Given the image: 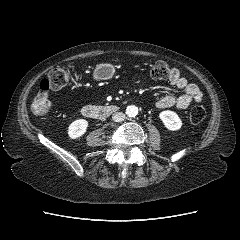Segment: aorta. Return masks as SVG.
<instances>
[{
  "label": "aorta",
  "instance_id": "1",
  "mask_svg": "<svg viewBox=\"0 0 240 240\" xmlns=\"http://www.w3.org/2000/svg\"><path fill=\"white\" fill-rule=\"evenodd\" d=\"M138 114V107L135 105H130L126 108V115L128 117H135Z\"/></svg>",
  "mask_w": 240,
  "mask_h": 240
}]
</instances>
